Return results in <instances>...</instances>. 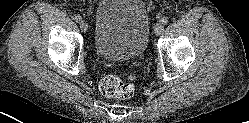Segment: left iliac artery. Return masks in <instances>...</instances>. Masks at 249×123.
Returning a JSON list of instances; mask_svg holds the SVG:
<instances>
[{
  "label": "left iliac artery",
  "mask_w": 249,
  "mask_h": 123,
  "mask_svg": "<svg viewBox=\"0 0 249 123\" xmlns=\"http://www.w3.org/2000/svg\"><path fill=\"white\" fill-rule=\"evenodd\" d=\"M160 21L164 25H166L168 23V19L166 17H163Z\"/></svg>",
  "instance_id": "obj_1"
}]
</instances>
